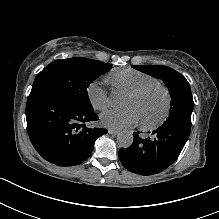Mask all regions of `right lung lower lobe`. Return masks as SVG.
Returning <instances> with one entry per match:
<instances>
[{
  "instance_id": "obj_1",
  "label": "right lung lower lobe",
  "mask_w": 219,
  "mask_h": 219,
  "mask_svg": "<svg viewBox=\"0 0 219 219\" xmlns=\"http://www.w3.org/2000/svg\"><path fill=\"white\" fill-rule=\"evenodd\" d=\"M93 108H82L68 99L48 93H30L26 105L27 130L37 152L58 166H74L92 153L95 140L106 129L88 128L98 120Z\"/></svg>"
}]
</instances>
